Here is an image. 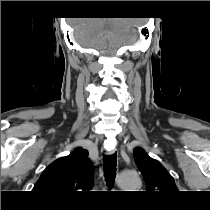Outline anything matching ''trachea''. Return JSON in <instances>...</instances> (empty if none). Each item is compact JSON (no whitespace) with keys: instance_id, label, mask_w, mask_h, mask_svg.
<instances>
[{"instance_id":"obj_1","label":"trachea","mask_w":210,"mask_h":210,"mask_svg":"<svg viewBox=\"0 0 210 210\" xmlns=\"http://www.w3.org/2000/svg\"><path fill=\"white\" fill-rule=\"evenodd\" d=\"M103 163L105 180L107 185H111L114 183L116 177L117 153L115 152L112 155H104Z\"/></svg>"}]
</instances>
